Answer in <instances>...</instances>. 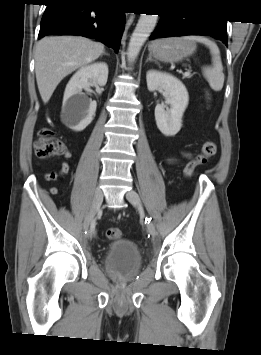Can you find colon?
I'll list each match as a JSON object with an SVG mask.
<instances>
[{"instance_id": "obj_1", "label": "colon", "mask_w": 261, "mask_h": 355, "mask_svg": "<svg viewBox=\"0 0 261 355\" xmlns=\"http://www.w3.org/2000/svg\"><path fill=\"white\" fill-rule=\"evenodd\" d=\"M66 144L56 136L51 128H43L39 133V138L35 143V153L41 159L58 158L65 154ZM217 146L214 141H207L203 144L197 156L190 160L184 169L187 177H191L199 165L205 164L208 159L215 155ZM106 236L110 240H117L122 237V230L118 227H111L106 231Z\"/></svg>"}]
</instances>
